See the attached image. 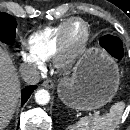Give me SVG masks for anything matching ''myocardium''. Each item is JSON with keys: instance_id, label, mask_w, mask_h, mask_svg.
<instances>
[{"instance_id": "f54148a6", "label": "myocardium", "mask_w": 130, "mask_h": 130, "mask_svg": "<svg viewBox=\"0 0 130 130\" xmlns=\"http://www.w3.org/2000/svg\"><path fill=\"white\" fill-rule=\"evenodd\" d=\"M75 23L81 24L84 35L78 44H74L71 40L70 31ZM90 37V29L88 24L80 19L73 18L66 24L59 42V47L54 55V65L59 70L71 68L78 58L85 52Z\"/></svg>"}]
</instances>
